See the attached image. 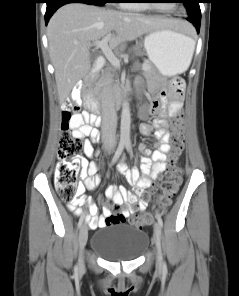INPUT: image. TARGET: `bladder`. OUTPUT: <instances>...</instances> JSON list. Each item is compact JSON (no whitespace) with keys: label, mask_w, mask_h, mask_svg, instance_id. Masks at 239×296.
<instances>
[{"label":"bladder","mask_w":239,"mask_h":296,"mask_svg":"<svg viewBox=\"0 0 239 296\" xmlns=\"http://www.w3.org/2000/svg\"><path fill=\"white\" fill-rule=\"evenodd\" d=\"M92 238L91 248L111 262H127L140 257L148 248V234L127 224L106 225Z\"/></svg>","instance_id":"31cf9c89"}]
</instances>
